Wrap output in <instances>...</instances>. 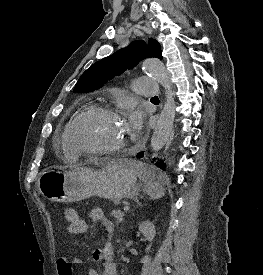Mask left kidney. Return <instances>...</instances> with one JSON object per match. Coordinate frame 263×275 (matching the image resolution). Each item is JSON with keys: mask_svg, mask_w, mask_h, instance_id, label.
I'll return each instance as SVG.
<instances>
[{"mask_svg": "<svg viewBox=\"0 0 263 275\" xmlns=\"http://www.w3.org/2000/svg\"><path fill=\"white\" fill-rule=\"evenodd\" d=\"M139 231L145 236L146 240H148L149 242H152L156 235L155 226L149 220H146L139 225ZM150 249H151V245H148L146 247V252L149 253ZM148 261H150V257L149 255H146L143 258L142 262H148Z\"/></svg>", "mask_w": 263, "mask_h": 275, "instance_id": "1", "label": "left kidney"}]
</instances>
